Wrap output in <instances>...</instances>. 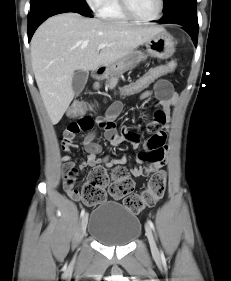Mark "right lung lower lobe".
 <instances>
[{
    "mask_svg": "<svg viewBox=\"0 0 231 281\" xmlns=\"http://www.w3.org/2000/svg\"><path fill=\"white\" fill-rule=\"evenodd\" d=\"M65 12H77L83 16L93 17L84 0H31L28 14V40L35 30L47 18Z\"/></svg>",
    "mask_w": 231,
    "mask_h": 281,
    "instance_id": "right-lung-lower-lobe-1",
    "label": "right lung lower lobe"
}]
</instances>
